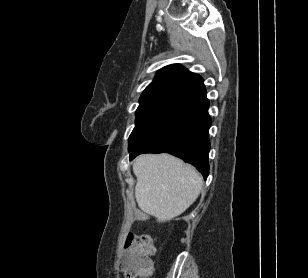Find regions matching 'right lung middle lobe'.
Segmentation results:
<instances>
[{"instance_id":"1","label":"right lung middle lobe","mask_w":308,"mask_h":278,"mask_svg":"<svg viewBox=\"0 0 308 278\" xmlns=\"http://www.w3.org/2000/svg\"><path fill=\"white\" fill-rule=\"evenodd\" d=\"M176 115L172 114H150L136 116V124L129 137L128 149L133 150L141 143L162 130Z\"/></svg>"}]
</instances>
